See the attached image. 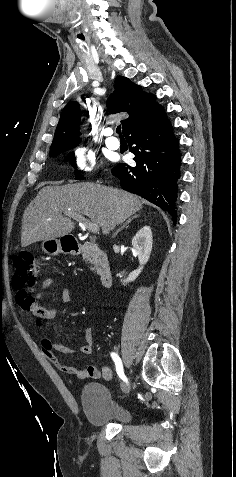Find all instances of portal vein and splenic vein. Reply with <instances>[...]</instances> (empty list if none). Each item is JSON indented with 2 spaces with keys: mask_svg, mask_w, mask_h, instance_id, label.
Masks as SVG:
<instances>
[{
  "mask_svg": "<svg viewBox=\"0 0 236 477\" xmlns=\"http://www.w3.org/2000/svg\"><path fill=\"white\" fill-rule=\"evenodd\" d=\"M65 215L78 221L82 226L90 230L92 233H97L99 231L98 224L91 223L86 220L82 215L72 212H65Z\"/></svg>",
  "mask_w": 236,
  "mask_h": 477,
  "instance_id": "obj_1",
  "label": "portal vein and splenic vein"
}]
</instances>
